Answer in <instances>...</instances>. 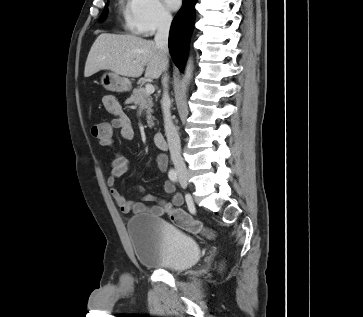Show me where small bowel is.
<instances>
[{"mask_svg":"<svg viewBox=\"0 0 363 317\" xmlns=\"http://www.w3.org/2000/svg\"><path fill=\"white\" fill-rule=\"evenodd\" d=\"M103 106L111 113L114 118L104 123L100 127L99 135L95 136L102 146H112L114 131L118 130L120 137L123 140H132L134 138V129L127 116L123 113L119 101L112 95H105L102 99ZM157 166L160 171L164 172L167 169V161L165 157L159 156L156 160ZM131 166L130 161L122 154H116L111 163L110 175L107 178V184L110 188V193L121 210L125 214H150L153 216H163L169 212L171 208L178 207L183 203V196L180 193L175 192L174 185L170 182L164 183V191L167 194L172 195L171 202L160 201L155 205H147L150 202L156 200V197L152 194H142L139 200H128L124 194H122L116 188L117 179L123 175ZM133 191L141 192L142 189L135 187Z\"/></svg>","mask_w":363,"mask_h":317,"instance_id":"1","label":"small bowel"}]
</instances>
